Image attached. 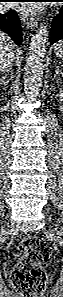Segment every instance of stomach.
<instances>
[{
    "mask_svg": "<svg viewBox=\"0 0 63 297\" xmlns=\"http://www.w3.org/2000/svg\"><path fill=\"white\" fill-rule=\"evenodd\" d=\"M54 51L57 57H59L60 59H63V43H58L54 47Z\"/></svg>",
    "mask_w": 63,
    "mask_h": 297,
    "instance_id": "1",
    "label": "stomach"
}]
</instances>
